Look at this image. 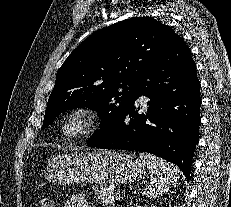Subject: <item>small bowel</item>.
Here are the masks:
<instances>
[{
  "label": "small bowel",
  "instance_id": "small-bowel-1",
  "mask_svg": "<svg viewBox=\"0 0 231 207\" xmlns=\"http://www.w3.org/2000/svg\"><path fill=\"white\" fill-rule=\"evenodd\" d=\"M63 207H95L82 195H72L63 205Z\"/></svg>",
  "mask_w": 231,
  "mask_h": 207
}]
</instances>
